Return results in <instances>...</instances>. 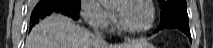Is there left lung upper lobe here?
Wrapping results in <instances>:
<instances>
[{
	"label": "left lung upper lobe",
	"instance_id": "obj_1",
	"mask_svg": "<svg viewBox=\"0 0 213 48\" xmlns=\"http://www.w3.org/2000/svg\"><path fill=\"white\" fill-rule=\"evenodd\" d=\"M161 7V20L168 17L188 19L185 0H158Z\"/></svg>",
	"mask_w": 213,
	"mask_h": 48
}]
</instances>
